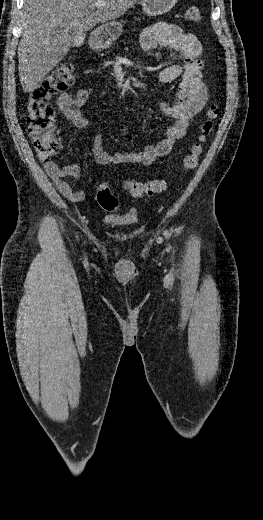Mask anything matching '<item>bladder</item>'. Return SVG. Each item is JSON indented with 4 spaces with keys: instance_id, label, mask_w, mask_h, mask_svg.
Listing matches in <instances>:
<instances>
[{
    "instance_id": "31cf9c89",
    "label": "bladder",
    "mask_w": 263,
    "mask_h": 520,
    "mask_svg": "<svg viewBox=\"0 0 263 520\" xmlns=\"http://www.w3.org/2000/svg\"><path fill=\"white\" fill-rule=\"evenodd\" d=\"M138 223V216L136 213L126 215L107 216L103 219V224L112 229L132 227Z\"/></svg>"
}]
</instances>
